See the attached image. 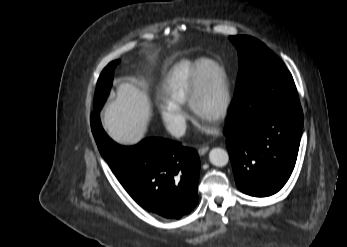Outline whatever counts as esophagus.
I'll use <instances>...</instances> for the list:
<instances>
[{
    "mask_svg": "<svg viewBox=\"0 0 347 247\" xmlns=\"http://www.w3.org/2000/svg\"><path fill=\"white\" fill-rule=\"evenodd\" d=\"M209 150V147L208 146H203L201 148L198 149V154L199 155H204L205 153H207V151Z\"/></svg>",
    "mask_w": 347,
    "mask_h": 247,
    "instance_id": "1",
    "label": "esophagus"
}]
</instances>
